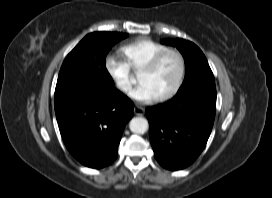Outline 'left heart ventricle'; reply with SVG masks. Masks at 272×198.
Listing matches in <instances>:
<instances>
[{
  "instance_id": "obj_1",
  "label": "left heart ventricle",
  "mask_w": 272,
  "mask_h": 198,
  "mask_svg": "<svg viewBox=\"0 0 272 198\" xmlns=\"http://www.w3.org/2000/svg\"><path fill=\"white\" fill-rule=\"evenodd\" d=\"M180 72V61L174 54L167 55L150 73H140L138 80L147 84L156 97L168 93L175 85Z\"/></svg>"
}]
</instances>
